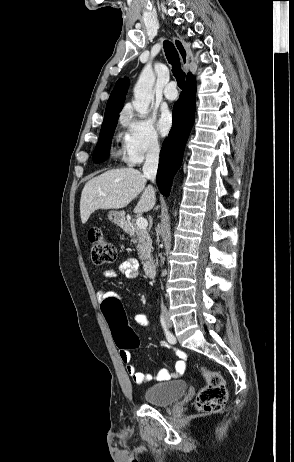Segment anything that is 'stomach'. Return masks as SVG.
<instances>
[{
    "label": "stomach",
    "instance_id": "0dacf381",
    "mask_svg": "<svg viewBox=\"0 0 294 462\" xmlns=\"http://www.w3.org/2000/svg\"><path fill=\"white\" fill-rule=\"evenodd\" d=\"M109 220L118 225V226H124L125 225V219H124V212L121 211H110L108 214Z\"/></svg>",
    "mask_w": 294,
    "mask_h": 462
}]
</instances>
